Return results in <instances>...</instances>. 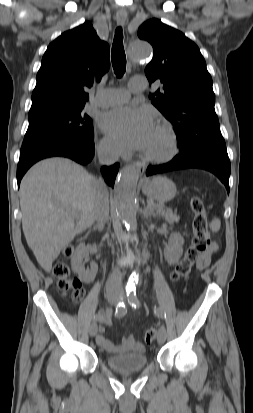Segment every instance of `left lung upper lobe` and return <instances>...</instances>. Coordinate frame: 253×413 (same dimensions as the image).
<instances>
[{"label": "left lung upper lobe", "mask_w": 253, "mask_h": 413, "mask_svg": "<svg viewBox=\"0 0 253 413\" xmlns=\"http://www.w3.org/2000/svg\"><path fill=\"white\" fill-rule=\"evenodd\" d=\"M138 37L154 49L153 59L145 68L149 82L162 83L150 94L151 102L173 124L178 142L191 146L192 141L186 143V139L199 135L200 126H219L213 82L205 60L195 43L159 19L143 23ZM212 134L222 136L220 127Z\"/></svg>", "instance_id": "5c2ea615"}]
</instances>
